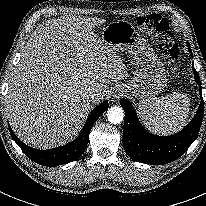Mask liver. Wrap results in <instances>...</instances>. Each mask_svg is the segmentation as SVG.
<instances>
[{"label": "liver", "mask_w": 206, "mask_h": 206, "mask_svg": "<svg viewBox=\"0 0 206 206\" xmlns=\"http://www.w3.org/2000/svg\"><path fill=\"white\" fill-rule=\"evenodd\" d=\"M103 22L63 16L31 34L5 97L7 117L21 141L39 149L67 143L108 95L107 84L129 76L119 54L93 31ZM92 93L102 99L92 102Z\"/></svg>", "instance_id": "1"}]
</instances>
